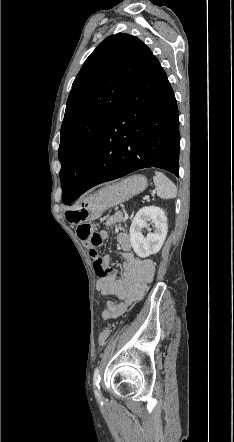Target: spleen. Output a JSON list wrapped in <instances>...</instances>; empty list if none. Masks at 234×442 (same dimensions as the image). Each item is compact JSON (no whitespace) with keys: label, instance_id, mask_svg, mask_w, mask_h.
Masks as SVG:
<instances>
[{"label":"spleen","instance_id":"1","mask_svg":"<svg viewBox=\"0 0 234 442\" xmlns=\"http://www.w3.org/2000/svg\"><path fill=\"white\" fill-rule=\"evenodd\" d=\"M157 195L162 199H172L177 195L175 184L166 177L162 172L156 171L153 177Z\"/></svg>","mask_w":234,"mask_h":442}]
</instances>
